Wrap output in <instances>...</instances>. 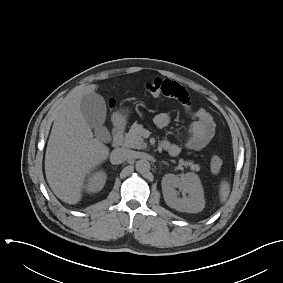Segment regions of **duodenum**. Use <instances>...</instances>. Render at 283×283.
Wrapping results in <instances>:
<instances>
[{
    "instance_id": "410a0bca",
    "label": "duodenum",
    "mask_w": 283,
    "mask_h": 283,
    "mask_svg": "<svg viewBox=\"0 0 283 283\" xmlns=\"http://www.w3.org/2000/svg\"><path fill=\"white\" fill-rule=\"evenodd\" d=\"M124 126L122 123L115 124L113 128L112 146L118 148L123 143Z\"/></svg>"
}]
</instances>
